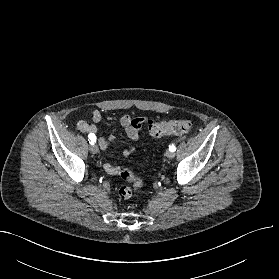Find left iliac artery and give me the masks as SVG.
I'll return each instance as SVG.
<instances>
[{
    "label": "left iliac artery",
    "instance_id": "left-iliac-artery-1",
    "mask_svg": "<svg viewBox=\"0 0 279 279\" xmlns=\"http://www.w3.org/2000/svg\"><path fill=\"white\" fill-rule=\"evenodd\" d=\"M169 150L172 151V152H174V151L176 150V147H175L174 145H171V146L169 147Z\"/></svg>",
    "mask_w": 279,
    "mask_h": 279
}]
</instances>
